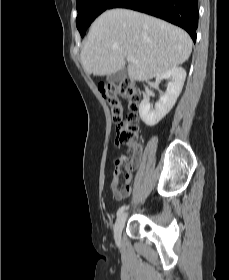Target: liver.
<instances>
[{
	"instance_id": "liver-1",
	"label": "liver",
	"mask_w": 229,
	"mask_h": 280,
	"mask_svg": "<svg viewBox=\"0 0 229 280\" xmlns=\"http://www.w3.org/2000/svg\"><path fill=\"white\" fill-rule=\"evenodd\" d=\"M192 51L190 36L179 27L127 9L102 13L92 24L81 50L86 74L104 76L125 66L129 77L147 81L183 64Z\"/></svg>"
}]
</instances>
